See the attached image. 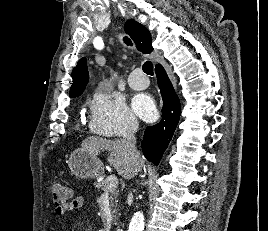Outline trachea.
Instances as JSON below:
<instances>
[{
  "mask_svg": "<svg viewBox=\"0 0 268 231\" xmlns=\"http://www.w3.org/2000/svg\"><path fill=\"white\" fill-rule=\"evenodd\" d=\"M124 42L127 44V45H131V40L128 38V37H125L124 38ZM143 71L148 74V75H153V64L152 62L150 61H146L144 64H143Z\"/></svg>",
  "mask_w": 268,
  "mask_h": 231,
  "instance_id": "1",
  "label": "trachea"
}]
</instances>
